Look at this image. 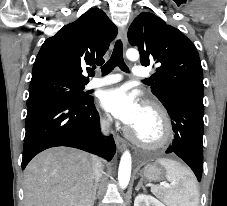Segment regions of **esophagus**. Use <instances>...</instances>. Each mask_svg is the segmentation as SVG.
Listing matches in <instances>:
<instances>
[{
  "mask_svg": "<svg viewBox=\"0 0 227 206\" xmlns=\"http://www.w3.org/2000/svg\"><path fill=\"white\" fill-rule=\"evenodd\" d=\"M119 36L123 42L124 47H126V44H127V28L126 27H122L120 29ZM115 142H116L118 150L120 152H123V150L125 148V140L122 137H120L119 135H117L115 137Z\"/></svg>",
  "mask_w": 227,
  "mask_h": 206,
  "instance_id": "34e87169",
  "label": "esophagus"
}]
</instances>
